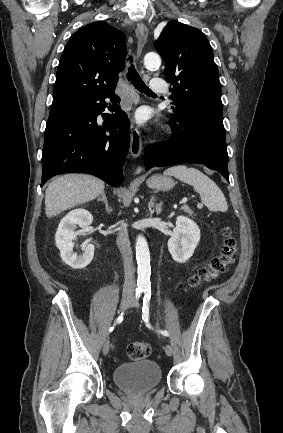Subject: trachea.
Listing matches in <instances>:
<instances>
[{"label":"trachea","mask_w":283,"mask_h":433,"mask_svg":"<svg viewBox=\"0 0 283 433\" xmlns=\"http://www.w3.org/2000/svg\"><path fill=\"white\" fill-rule=\"evenodd\" d=\"M127 60L131 63L127 73L128 80L133 83L134 87L139 90V92L145 93L146 95H154L152 90L147 87L146 83H144L140 75L137 73V70L133 65V58L129 57Z\"/></svg>","instance_id":"3493384b"}]
</instances>
